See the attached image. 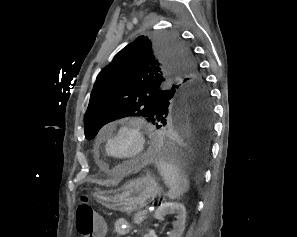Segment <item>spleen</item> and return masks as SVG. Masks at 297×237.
Wrapping results in <instances>:
<instances>
[{
    "label": "spleen",
    "mask_w": 297,
    "mask_h": 237,
    "mask_svg": "<svg viewBox=\"0 0 297 237\" xmlns=\"http://www.w3.org/2000/svg\"><path fill=\"white\" fill-rule=\"evenodd\" d=\"M156 166L165 184L170 188L168 197L171 200L179 198L189 190V180L176 164L160 159L156 162Z\"/></svg>",
    "instance_id": "spleen-1"
}]
</instances>
